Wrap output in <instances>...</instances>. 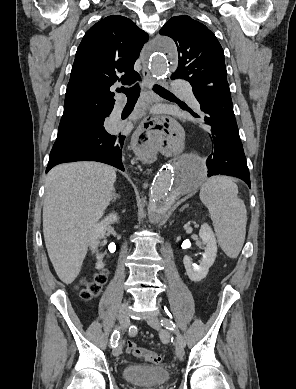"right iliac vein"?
I'll list each match as a JSON object with an SVG mask.
<instances>
[{
	"mask_svg": "<svg viewBox=\"0 0 296 389\" xmlns=\"http://www.w3.org/2000/svg\"><path fill=\"white\" fill-rule=\"evenodd\" d=\"M118 319L121 329H125L129 325L128 303H124L119 310ZM122 353V345L119 344L113 349V355L119 356Z\"/></svg>",
	"mask_w": 296,
	"mask_h": 389,
	"instance_id": "obj_1",
	"label": "right iliac vein"
}]
</instances>
